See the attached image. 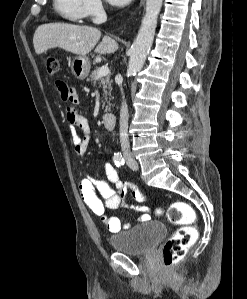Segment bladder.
Instances as JSON below:
<instances>
[{
    "label": "bladder",
    "instance_id": "31cf9c89",
    "mask_svg": "<svg viewBox=\"0 0 247 299\" xmlns=\"http://www.w3.org/2000/svg\"><path fill=\"white\" fill-rule=\"evenodd\" d=\"M166 228L159 221H147L110 236L111 246L118 252L143 255L152 250L165 236Z\"/></svg>",
    "mask_w": 247,
    "mask_h": 299
}]
</instances>
